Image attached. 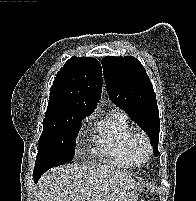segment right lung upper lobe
<instances>
[{
    "mask_svg": "<svg viewBox=\"0 0 196 201\" xmlns=\"http://www.w3.org/2000/svg\"><path fill=\"white\" fill-rule=\"evenodd\" d=\"M102 68L95 58L72 57L56 74L45 117L80 110L91 113L101 97Z\"/></svg>",
    "mask_w": 196,
    "mask_h": 201,
    "instance_id": "obj_1",
    "label": "right lung upper lobe"
}]
</instances>
